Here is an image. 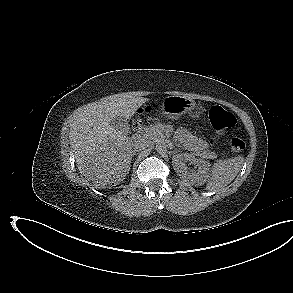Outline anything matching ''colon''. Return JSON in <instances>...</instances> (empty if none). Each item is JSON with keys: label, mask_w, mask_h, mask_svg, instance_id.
I'll use <instances>...</instances> for the list:
<instances>
[{"label": "colon", "mask_w": 293, "mask_h": 293, "mask_svg": "<svg viewBox=\"0 0 293 293\" xmlns=\"http://www.w3.org/2000/svg\"><path fill=\"white\" fill-rule=\"evenodd\" d=\"M210 123L218 135L233 128L236 124V117L233 113L225 110L220 106H214L209 112ZM138 123H136L137 125ZM245 148V142L239 138H233L230 142V151L233 154L239 153Z\"/></svg>", "instance_id": "5ec220e1"}]
</instances>
